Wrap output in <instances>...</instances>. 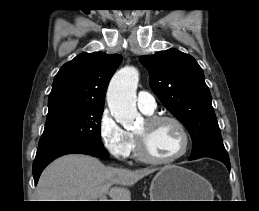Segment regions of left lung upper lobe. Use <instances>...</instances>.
Returning <instances> with one entry per match:
<instances>
[{
  "label": "left lung upper lobe",
  "instance_id": "5c2ea615",
  "mask_svg": "<svg viewBox=\"0 0 259 211\" xmlns=\"http://www.w3.org/2000/svg\"><path fill=\"white\" fill-rule=\"evenodd\" d=\"M140 61L150 72L153 92L189 131L193 145L189 159L229 158L203 70L196 60L181 51L169 49L141 56Z\"/></svg>",
  "mask_w": 259,
  "mask_h": 211
}]
</instances>
